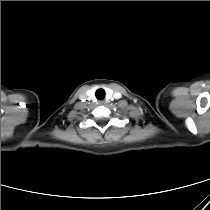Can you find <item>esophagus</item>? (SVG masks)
<instances>
[{"mask_svg":"<svg viewBox=\"0 0 210 210\" xmlns=\"http://www.w3.org/2000/svg\"><path fill=\"white\" fill-rule=\"evenodd\" d=\"M105 102L104 101H99V104L100 105H103Z\"/></svg>","mask_w":210,"mask_h":210,"instance_id":"34e87169","label":"esophagus"}]
</instances>
